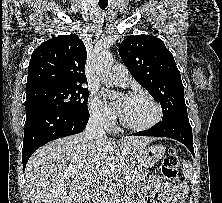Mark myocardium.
Listing matches in <instances>:
<instances>
[{
	"label": "myocardium",
	"instance_id": "obj_1",
	"mask_svg": "<svg viewBox=\"0 0 222 203\" xmlns=\"http://www.w3.org/2000/svg\"><path fill=\"white\" fill-rule=\"evenodd\" d=\"M127 96H129V97H144V98L148 99L156 108L157 114H156V117L151 122H149L147 124L134 125V124L127 122L120 113L119 120H120V123L123 127L133 130V131H144V130H148L150 128H153L154 126H156L157 124H159L161 122V120L163 118L162 106L151 94L144 92V91H134V92H130Z\"/></svg>",
	"mask_w": 222,
	"mask_h": 203
}]
</instances>
